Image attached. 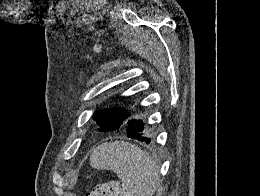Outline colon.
I'll return each instance as SVG.
<instances>
[{
  "instance_id": "obj_1",
  "label": "colon",
  "mask_w": 260,
  "mask_h": 196,
  "mask_svg": "<svg viewBox=\"0 0 260 196\" xmlns=\"http://www.w3.org/2000/svg\"><path fill=\"white\" fill-rule=\"evenodd\" d=\"M118 193L114 192V195H117Z\"/></svg>"
}]
</instances>
